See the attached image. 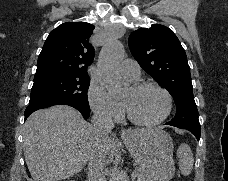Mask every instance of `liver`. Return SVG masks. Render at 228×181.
Wrapping results in <instances>:
<instances>
[{
  "label": "liver",
  "instance_id": "6515ba94",
  "mask_svg": "<svg viewBox=\"0 0 228 181\" xmlns=\"http://www.w3.org/2000/svg\"><path fill=\"white\" fill-rule=\"evenodd\" d=\"M115 143L116 137H109L101 147L109 153ZM95 145L90 123L67 105L35 111L24 125V157L34 181H62L77 175Z\"/></svg>",
  "mask_w": 228,
  "mask_h": 181
}]
</instances>
